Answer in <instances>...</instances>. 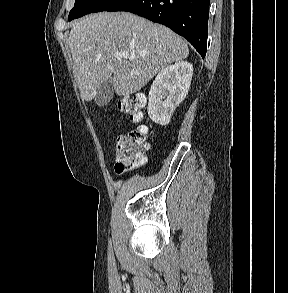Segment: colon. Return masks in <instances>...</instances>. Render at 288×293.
Returning <instances> with one entry per match:
<instances>
[{
    "instance_id": "colon-1",
    "label": "colon",
    "mask_w": 288,
    "mask_h": 293,
    "mask_svg": "<svg viewBox=\"0 0 288 293\" xmlns=\"http://www.w3.org/2000/svg\"><path fill=\"white\" fill-rule=\"evenodd\" d=\"M145 99L141 94L123 98L120 110L135 122L142 119ZM147 127L140 125L127 135L118 138L115 150V171L118 174L140 167L144 163V152L149 147Z\"/></svg>"
}]
</instances>
